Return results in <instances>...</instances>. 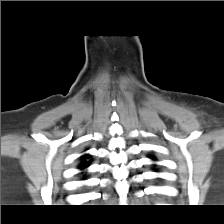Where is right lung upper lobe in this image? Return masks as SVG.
<instances>
[{"label": "right lung upper lobe", "mask_w": 224, "mask_h": 224, "mask_svg": "<svg viewBox=\"0 0 224 224\" xmlns=\"http://www.w3.org/2000/svg\"><path fill=\"white\" fill-rule=\"evenodd\" d=\"M88 157V155H84L82 156V163L79 165V169L83 170L85 168H87L90 164V161H86L85 158Z\"/></svg>", "instance_id": "1"}]
</instances>
